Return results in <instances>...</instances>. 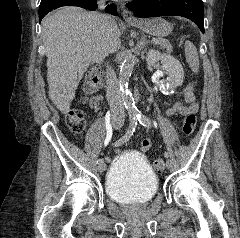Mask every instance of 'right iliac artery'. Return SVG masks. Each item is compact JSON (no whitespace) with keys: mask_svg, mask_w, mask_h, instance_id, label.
Here are the masks:
<instances>
[{"mask_svg":"<svg viewBox=\"0 0 240 238\" xmlns=\"http://www.w3.org/2000/svg\"><path fill=\"white\" fill-rule=\"evenodd\" d=\"M137 126V118L136 117H130V125L128 130L126 131L125 135H123L118 141L115 142V146H120L124 143H126L130 137L133 135V132L135 131V128ZM97 163H103V159H98Z\"/></svg>","mask_w":240,"mask_h":238,"instance_id":"82829eb1","label":"right iliac artery"}]
</instances>
